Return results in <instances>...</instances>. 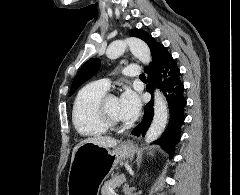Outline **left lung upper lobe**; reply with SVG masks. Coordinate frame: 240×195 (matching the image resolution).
Masks as SVG:
<instances>
[{
	"label": "left lung upper lobe",
	"mask_w": 240,
	"mask_h": 195,
	"mask_svg": "<svg viewBox=\"0 0 240 195\" xmlns=\"http://www.w3.org/2000/svg\"><path fill=\"white\" fill-rule=\"evenodd\" d=\"M130 35L144 40L151 50L152 62L149 67L145 68V72L149 73L160 61L170 55L167 49L147 32L140 29H133L130 31ZM100 64V59L92 58L82 65L72 82L70 95H72L80 85L97 73Z\"/></svg>",
	"instance_id": "obj_1"
}]
</instances>
